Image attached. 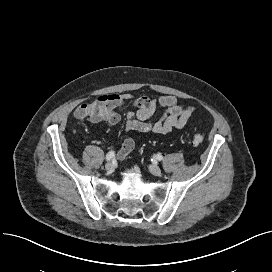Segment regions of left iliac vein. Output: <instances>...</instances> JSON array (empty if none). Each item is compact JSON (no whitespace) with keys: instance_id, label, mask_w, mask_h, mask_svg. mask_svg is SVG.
Masks as SVG:
<instances>
[{"instance_id":"1","label":"left iliac vein","mask_w":272,"mask_h":272,"mask_svg":"<svg viewBox=\"0 0 272 272\" xmlns=\"http://www.w3.org/2000/svg\"><path fill=\"white\" fill-rule=\"evenodd\" d=\"M149 170L153 175L159 176L161 174V169L157 165H150Z\"/></svg>"}]
</instances>
